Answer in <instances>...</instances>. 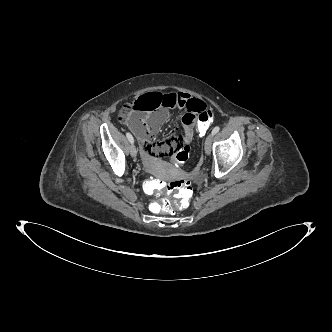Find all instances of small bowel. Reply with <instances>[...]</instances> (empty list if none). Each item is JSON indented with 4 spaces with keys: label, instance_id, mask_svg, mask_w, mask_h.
Here are the masks:
<instances>
[{
    "label": "small bowel",
    "instance_id": "small-bowel-1",
    "mask_svg": "<svg viewBox=\"0 0 332 332\" xmlns=\"http://www.w3.org/2000/svg\"><path fill=\"white\" fill-rule=\"evenodd\" d=\"M206 109L204 101L186 93L163 94L159 91H147L138 95L132 107L124 114V120L143 148L144 162L151 165L162 158L166 163L168 155L191 143L198 115ZM170 110L183 112L181 120L184 134L179 140L155 144L154 138L168 119Z\"/></svg>",
    "mask_w": 332,
    "mask_h": 332
}]
</instances>
